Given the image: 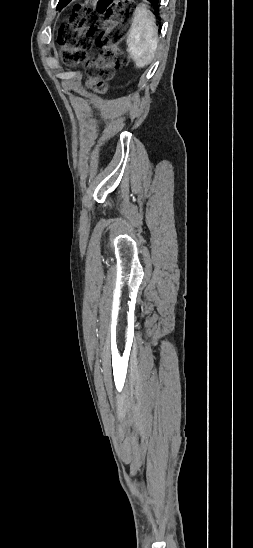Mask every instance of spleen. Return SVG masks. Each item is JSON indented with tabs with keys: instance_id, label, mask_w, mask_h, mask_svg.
<instances>
[{
	"instance_id": "3e777b00",
	"label": "spleen",
	"mask_w": 253,
	"mask_h": 548,
	"mask_svg": "<svg viewBox=\"0 0 253 548\" xmlns=\"http://www.w3.org/2000/svg\"><path fill=\"white\" fill-rule=\"evenodd\" d=\"M126 42L138 68L151 63L158 46V29L155 17L146 5L140 4L136 8Z\"/></svg>"
}]
</instances>
